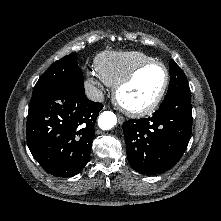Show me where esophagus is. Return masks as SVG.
<instances>
[{
	"instance_id": "obj_1",
	"label": "esophagus",
	"mask_w": 221,
	"mask_h": 221,
	"mask_svg": "<svg viewBox=\"0 0 221 221\" xmlns=\"http://www.w3.org/2000/svg\"><path fill=\"white\" fill-rule=\"evenodd\" d=\"M118 121L120 124H122L124 122V118L120 115H117Z\"/></svg>"
}]
</instances>
